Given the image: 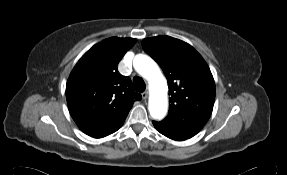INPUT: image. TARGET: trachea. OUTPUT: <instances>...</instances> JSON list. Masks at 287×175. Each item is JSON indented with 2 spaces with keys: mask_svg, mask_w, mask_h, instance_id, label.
Returning a JSON list of instances; mask_svg holds the SVG:
<instances>
[{
  "mask_svg": "<svg viewBox=\"0 0 287 175\" xmlns=\"http://www.w3.org/2000/svg\"><path fill=\"white\" fill-rule=\"evenodd\" d=\"M133 88L137 92H143L146 88L144 80L141 77L135 76L133 79Z\"/></svg>",
  "mask_w": 287,
  "mask_h": 175,
  "instance_id": "trachea-1",
  "label": "trachea"
}]
</instances>
